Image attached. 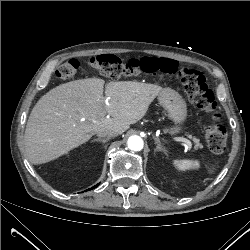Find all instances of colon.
<instances>
[{"mask_svg":"<svg viewBox=\"0 0 250 250\" xmlns=\"http://www.w3.org/2000/svg\"><path fill=\"white\" fill-rule=\"evenodd\" d=\"M82 63L95 72L111 78L130 77L141 73L148 75L174 74L183 84L189 101L207 113L212 124L206 129L205 139L209 149L222 153L226 148L227 129L219 122L221 117L213 92L208 88L205 74L193 66H179L171 59L144 57L141 59H121L115 55H100L87 61L71 59L60 65L56 75L61 80L72 79Z\"/></svg>","mask_w":250,"mask_h":250,"instance_id":"colon-1","label":"colon"}]
</instances>
